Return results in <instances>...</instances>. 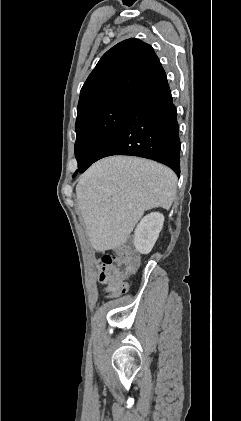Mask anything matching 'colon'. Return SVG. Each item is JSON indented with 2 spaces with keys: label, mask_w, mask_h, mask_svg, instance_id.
Instances as JSON below:
<instances>
[{
  "label": "colon",
  "mask_w": 241,
  "mask_h": 421,
  "mask_svg": "<svg viewBox=\"0 0 241 421\" xmlns=\"http://www.w3.org/2000/svg\"><path fill=\"white\" fill-rule=\"evenodd\" d=\"M138 262L139 258L136 252L128 247L120 248L112 254H106L101 261L99 279L125 291L126 284L124 280L134 273Z\"/></svg>",
  "instance_id": "colon-1"
}]
</instances>
